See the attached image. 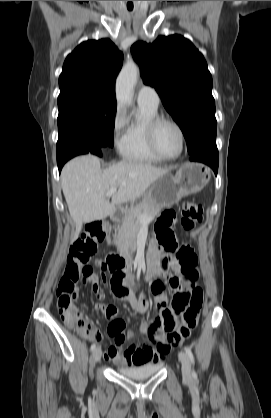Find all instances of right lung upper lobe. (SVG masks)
Returning a JSON list of instances; mask_svg holds the SVG:
<instances>
[{"instance_id": "right-lung-upper-lobe-1", "label": "right lung upper lobe", "mask_w": 271, "mask_h": 418, "mask_svg": "<svg viewBox=\"0 0 271 418\" xmlns=\"http://www.w3.org/2000/svg\"><path fill=\"white\" fill-rule=\"evenodd\" d=\"M122 61V52L109 39L81 43L64 62L58 104L85 101L116 105L115 79Z\"/></svg>"}]
</instances>
